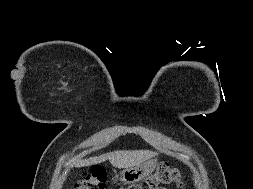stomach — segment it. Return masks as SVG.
<instances>
[{
	"mask_svg": "<svg viewBox=\"0 0 253 189\" xmlns=\"http://www.w3.org/2000/svg\"><path fill=\"white\" fill-rule=\"evenodd\" d=\"M156 167L155 160L146 161L138 166L126 168L120 172V180L124 184L136 183L148 176Z\"/></svg>",
	"mask_w": 253,
	"mask_h": 189,
	"instance_id": "0dacf381",
	"label": "stomach"
}]
</instances>
